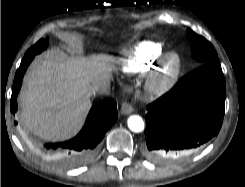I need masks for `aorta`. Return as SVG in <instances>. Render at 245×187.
<instances>
[{
	"mask_svg": "<svg viewBox=\"0 0 245 187\" xmlns=\"http://www.w3.org/2000/svg\"><path fill=\"white\" fill-rule=\"evenodd\" d=\"M127 123L129 129L136 133L143 131L145 127L143 119L138 115L130 116Z\"/></svg>",
	"mask_w": 245,
	"mask_h": 187,
	"instance_id": "obj_1",
	"label": "aorta"
}]
</instances>
